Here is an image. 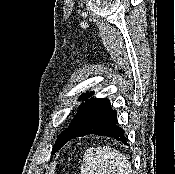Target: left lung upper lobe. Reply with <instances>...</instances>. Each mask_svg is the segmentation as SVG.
<instances>
[{
    "label": "left lung upper lobe",
    "instance_id": "obj_1",
    "mask_svg": "<svg viewBox=\"0 0 175 174\" xmlns=\"http://www.w3.org/2000/svg\"><path fill=\"white\" fill-rule=\"evenodd\" d=\"M86 94H83L79 97V100H81ZM65 130L59 135L56 143L53 146L52 153H55L57 150H59L63 146V136H64Z\"/></svg>",
    "mask_w": 175,
    "mask_h": 174
}]
</instances>
